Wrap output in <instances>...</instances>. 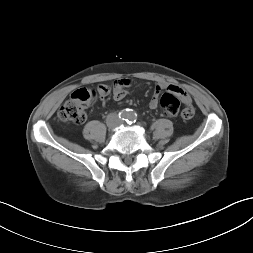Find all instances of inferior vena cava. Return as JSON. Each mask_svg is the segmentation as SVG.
<instances>
[{"label": "inferior vena cava", "instance_id": "obj_1", "mask_svg": "<svg viewBox=\"0 0 253 253\" xmlns=\"http://www.w3.org/2000/svg\"><path fill=\"white\" fill-rule=\"evenodd\" d=\"M117 119V115L114 113H111L107 116V123L112 124L113 120Z\"/></svg>", "mask_w": 253, "mask_h": 253}]
</instances>
